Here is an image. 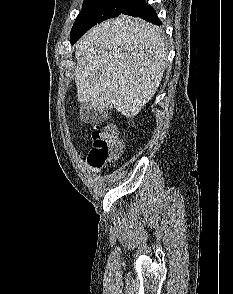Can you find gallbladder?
Wrapping results in <instances>:
<instances>
[{
    "instance_id": "gallbladder-1",
    "label": "gallbladder",
    "mask_w": 233,
    "mask_h": 294,
    "mask_svg": "<svg viewBox=\"0 0 233 294\" xmlns=\"http://www.w3.org/2000/svg\"><path fill=\"white\" fill-rule=\"evenodd\" d=\"M80 114L84 120H87V121H95L96 120L94 118L95 111H94V109L90 108V106L88 104H83L80 107Z\"/></svg>"
}]
</instances>
